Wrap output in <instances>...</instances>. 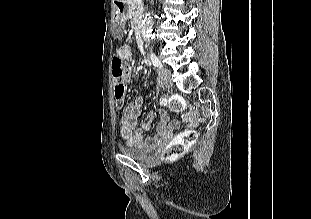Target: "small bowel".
Listing matches in <instances>:
<instances>
[{
  "mask_svg": "<svg viewBox=\"0 0 311 219\" xmlns=\"http://www.w3.org/2000/svg\"><path fill=\"white\" fill-rule=\"evenodd\" d=\"M117 56L128 60L130 58V50L128 46H121L117 49ZM132 79V73L127 70L124 75L125 83H130ZM144 101L141 97L136 98L134 101L128 103L124 108V114L120 123L121 137L131 145H140L144 142L143 132L149 131L152 128V124L155 120V113L150 111L146 114L145 121L141 124V129L136 130L139 116L143 108ZM160 112V122L158 124L159 134L151 137V140H157L159 137H168L172 134V131L177 127V124H169L167 115ZM190 114H193L191 112ZM194 124V122H191Z\"/></svg>",
  "mask_w": 311,
  "mask_h": 219,
  "instance_id": "small-bowel-1",
  "label": "small bowel"
}]
</instances>
